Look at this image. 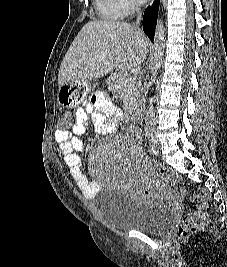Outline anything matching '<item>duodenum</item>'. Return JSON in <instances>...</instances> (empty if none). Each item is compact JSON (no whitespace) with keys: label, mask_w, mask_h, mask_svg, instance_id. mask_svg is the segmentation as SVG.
<instances>
[{"label":"duodenum","mask_w":227,"mask_h":267,"mask_svg":"<svg viewBox=\"0 0 227 267\" xmlns=\"http://www.w3.org/2000/svg\"><path fill=\"white\" fill-rule=\"evenodd\" d=\"M135 119H139V116L137 115V116H135Z\"/></svg>","instance_id":"410a0bca"}]
</instances>
